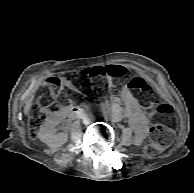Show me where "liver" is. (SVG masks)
I'll use <instances>...</instances> for the list:
<instances>
[{
	"label": "liver",
	"mask_w": 194,
	"mask_h": 193,
	"mask_svg": "<svg viewBox=\"0 0 194 193\" xmlns=\"http://www.w3.org/2000/svg\"><path fill=\"white\" fill-rule=\"evenodd\" d=\"M33 99H34V96L31 95V96L29 97V99L27 100V102H26V104H25V106H24V114H25V115H28V113H29V111H30V109H31V104H32Z\"/></svg>",
	"instance_id": "1"
}]
</instances>
